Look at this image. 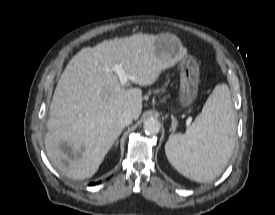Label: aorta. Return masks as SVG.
<instances>
[{"mask_svg": "<svg viewBox=\"0 0 275 215\" xmlns=\"http://www.w3.org/2000/svg\"><path fill=\"white\" fill-rule=\"evenodd\" d=\"M161 124L156 118H148L144 121L143 128L147 134H157Z\"/></svg>", "mask_w": 275, "mask_h": 215, "instance_id": "762f6f07", "label": "aorta"}]
</instances>
